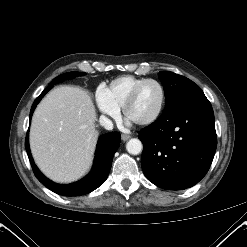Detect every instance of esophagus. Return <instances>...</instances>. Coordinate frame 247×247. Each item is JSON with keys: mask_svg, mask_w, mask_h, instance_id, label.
Segmentation results:
<instances>
[{"mask_svg": "<svg viewBox=\"0 0 247 247\" xmlns=\"http://www.w3.org/2000/svg\"><path fill=\"white\" fill-rule=\"evenodd\" d=\"M121 139H122L123 141H127L128 139H130V135L122 134V135H121Z\"/></svg>", "mask_w": 247, "mask_h": 247, "instance_id": "34e87169", "label": "esophagus"}]
</instances>
